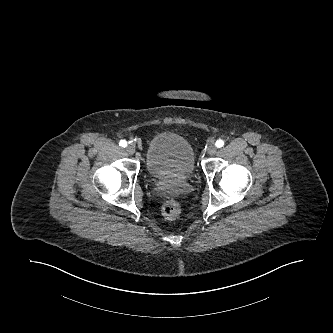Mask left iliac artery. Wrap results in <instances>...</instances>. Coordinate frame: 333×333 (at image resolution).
<instances>
[{"label":"left iliac artery","mask_w":333,"mask_h":333,"mask_svg":"<svg viewBox=\"0 0 333 333\" xmlns=\"http://www.w3.org/2000/svg\"><path fill=\"white\" fill-rule=\"evenodd\" d=\"M216 147L221 148L224 145V141L219 139L215 143Z\"/></svg>","instance_id":"left-iliac-artery-1"}]
</instances>
